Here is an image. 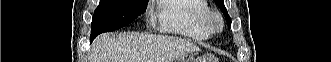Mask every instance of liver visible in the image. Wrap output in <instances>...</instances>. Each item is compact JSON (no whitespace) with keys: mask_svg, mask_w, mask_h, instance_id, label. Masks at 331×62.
Wrapping results in <instances>:
<instances>
[{"mask_svg":"<svg viewBox=\"0 0 331 62\" xmlns=\"http://www.w3.org/2000/svg\"><path fill=\"white\" fill-rule=\"evenodd\" d=\"M197 50L191 41L174 36L104 34L93 43L90 62H173Z\"/></svg>","mask_w":331,"mask_h":62,"instance_id":"6515ba94","label":"liver"}]
</instances>
